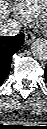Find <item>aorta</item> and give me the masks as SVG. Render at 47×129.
I'll list each match as a JSON object with an SVG mask.
<instances>
[{
  "label": "aorta",
  "mask_w": 47,
  "mask_h": 129,
  "mask_svg": "<svg viewBox=\"0 0 47 129\" xmlns=\"http://www.w3.org/2000/svg\"><path fill=\"white\" fill-rule=\"evenodd\" d=\"M31 52L36 59L40 61H46L47 60V41L43 38H38L35 41H33L31 45Z\"/></svg>",
  "instance_id": "762f6f07"
}]
</instances>
